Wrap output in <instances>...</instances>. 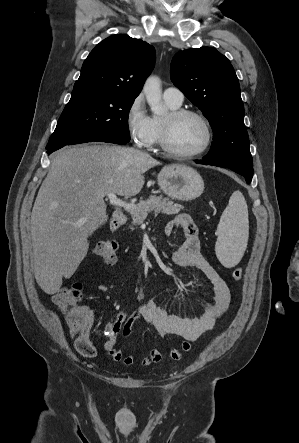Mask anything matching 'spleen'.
Wrapping results in <instances>:
<instances>
[{"mask_svg":"<svg viewBox=\"0 0 299 443\" xmlns=\"http://www.w3.org/2000/svg\"><path fill=\"white\" fill-rule=\"evenodd\" d=\"M215 252L226 268L236 266L246 250L249 236L248 207L243 194L235 191L217 227Z\"/></svg>","mask_w":299,"mask_h":443,"instance_id":"3e777b00","label":"spleen"}]
</instances>
